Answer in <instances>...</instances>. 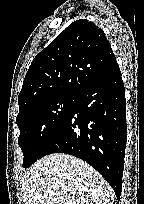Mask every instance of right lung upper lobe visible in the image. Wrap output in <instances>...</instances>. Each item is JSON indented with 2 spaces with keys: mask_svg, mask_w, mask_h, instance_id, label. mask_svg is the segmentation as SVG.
<instances>
[{
  "mask_svg": "<svg viewBox=\"0 0 144 204\" xmlns=\"http://www.w3.org/2000/svg\"><path fill=\"white\" fill-rule=\"evenodd\" d=\"M116 65L102 29L88 20L73 22L33 59L18 96L19 114L52 97L76 95Z\"/></svg>",
  "mask_w": 144,
  "mask_h": 204,
  "instance_id": "cb5924a9",
  "label": "right lung upper lobe"
}]
</instances>
